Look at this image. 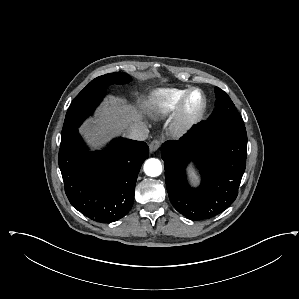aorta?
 <instances>
[{
	"label": "aorta",
	"instance_id": "762f6f07",
	"mask_svg": "<svg viewBox=\"0 0 299 299\" xmlns=\"http://www.w3.org/2000/svg\"><path fill=\"white\" fill-rule=\"evenodd\" d=\"M144 172L147 176L156 177L162 173V164L159 159L150 158L144 164Z\"/></svg>",
	"mask_w": 299,
	"mask_h": 299
}]
</instances>
